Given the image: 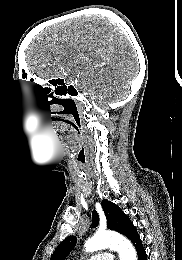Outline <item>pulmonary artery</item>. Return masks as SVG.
Here are the masks:
<instances>
[{
    "mask_svg": "<svg viewBox=\"0 0 182 260\" xmlns=\"http://www.w3.org/2000/svg\"><path fill=\"white\" fill-rule=\"evenodd\" d=\"M88 260H112V256H111V254H109L107 252H103V253H98V254L92 256Z\"/></svg>",
    "mask_w": 182,
    "mask_h": 260,
    "instance_id": "1",
    "label": "pulmonary artery"
}]
</instances>
